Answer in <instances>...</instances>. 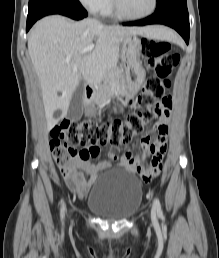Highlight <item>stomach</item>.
<instances>
[{
	"instance_id": "1",
	"label": "stomach",
	"mask_w": 219,
	"mask_h": 258,
	"mask_svg": "<svg viewBox=\"0 0 219 258\" xmlns=\"http://www.w3.org/2000/svg\"><path fill=\"white\" fill-rule=\"evenodd\" d=\"M141 51V40L136 35L123 38L121 52L125 62V87L132 95L139 91L145 79V70L140 60ZM95 113V106L91 103L88 114L94 115Z\"/></svg>"
}]
</instances>
